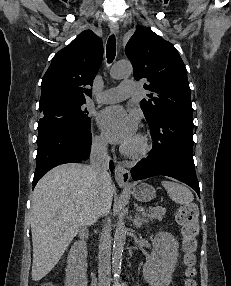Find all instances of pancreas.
<instances>
[{
	"label": "pancreas",
	"mask_w": 231,
	"mask_h": 286,
	"mask_svg": "<svg viewBox=\"0 0 231 286\" xmlns=\"http://www.w3.org/2000/svg\"><path fill=\"white\" fill-rule=\"evenodd\" d=\"M165 213H166L165 208L158 207V208L152 209L149 212H142V215L144 216L145 221H148L149 219L161 221Z\"/></svg>",
	"instance_id": "1"
}]
</instances>
